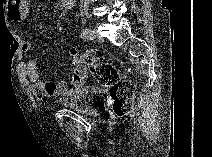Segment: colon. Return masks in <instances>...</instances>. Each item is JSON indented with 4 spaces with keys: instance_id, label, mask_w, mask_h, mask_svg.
I'll list each match as a JSON object with an SVG mask.
<instances>
[{
    "instance_id": "colon-1",
    "label": "colon",
    "mask_w": 212,
    "mask_h": 157,
    "mask_svg": "<svg viewBox=\"0 0 212 157\" xmlns=\"http://www.w3.org/2000/svg\"><path fill=\"white\" fill-rule=\"evenodd\" d=\"M70 54L76 67L75 80L82 83L89 71L101 86L110 91L113 112L118 117L126 116L131 109V99L135 92L134 82L122 79V69L106 61L100 50L79 52L73 49Z\"/></svg>"
}]
</instances>
